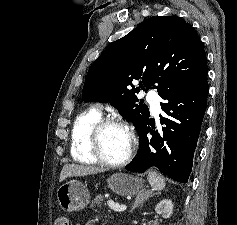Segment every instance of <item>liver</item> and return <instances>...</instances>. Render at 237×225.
I'll return each instance as SVG.
<instances>
[{"instance_id": "1", "label": "liver", "mask_w": 237, "mask_h": 225, "mask_svg": "<svg viewBox=\"0 0 237 225\" xmlns=\"http://www.w3.org/2000/svg\"><path fill=\"white\" fill-rule=\"evenodd\" d=\"M103 168L93 166H83L77 164H66L63 166L59 181H64L67 177L86 176L103 172Z\"/></svg>"}]
</instances>
